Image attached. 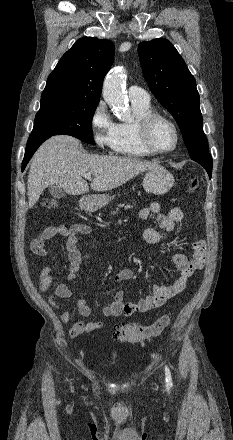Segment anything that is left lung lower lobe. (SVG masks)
<instances>
[{
  "mask_svg": "<svg viewBox=\"0 0 233 440\" xmlns=\"http://www.w3.org/2000/svg\"><path fill=\"white\" fill-rule=\"evenodd\" d=\"M192 160L198 162L199 164H201L205 170L207 171L209 177L211 178L212 175V157L211 155L205 156V157H200V158H191Z\"/></svg>",
  "mask_w": 233,
  "mask_h": 440,
  "instance_id": "obj_1",
  "label": "left lung lower lobe"
}]
</instances>
